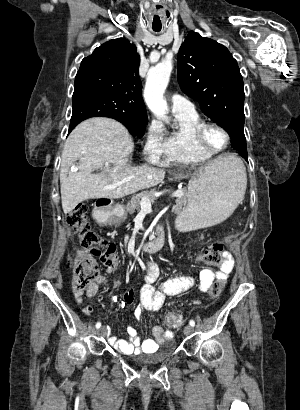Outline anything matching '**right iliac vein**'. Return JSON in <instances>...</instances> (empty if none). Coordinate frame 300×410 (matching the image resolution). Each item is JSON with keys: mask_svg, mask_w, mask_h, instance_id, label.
I'll list each match as a JSON object with an SVG mask.
<instances>
[{"mask_svg": "<svg viewBox=\"0 0 300 410\" xmlns=\"http://www.w3.org/2000/svg\"><path fill=\"white\" fill-rule=\"evenodd\" d=\"M106 333V331H105V328L104 327H101L99 330H98V334L99 335H104Z\"/></svg>", "mask_w": 300, "mask_h": 410, "instance_id": "1", "label": "right iliac vein"}]
</instances>
